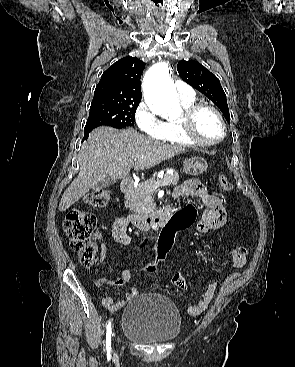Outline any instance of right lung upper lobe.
<instances>
[{"mask_svg": "<svg viewBox=\"0 0 295 367\" xmlns=\"http://www.w3.org/2000/svg\"><path fill=\"white\" fill-rule=\"evenodd\" d=\"M145 63L136 57H125L115 62L101 76L94 96L106 95L140 100V79Z\"/></svg>", "mask_w": 295, "mask_h": 367, "instance_id": "1", "label": "right lung upper lobe"}]
</instances>
